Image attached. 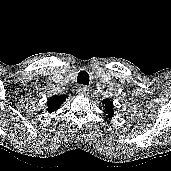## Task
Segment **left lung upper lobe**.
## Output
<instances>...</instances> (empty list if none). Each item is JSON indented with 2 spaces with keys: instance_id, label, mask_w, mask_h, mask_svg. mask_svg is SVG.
I'll list each match as a JSON object with an SVG mask.
<instances>
[{
  "instance_id": "obj_1",
  "label": "left lung upper lobe",
  "mask_w": 171,
  "mask_h": 171,
  "mask_svg": "<svg viewBox=\"0 0 171 171\" xmlns=\"http://www.w3.org/2000/svg\"><path fill=\"white\" fill-rule=\"evenodd\" d=\"M103 104L105 107V114H107V117H112L114 115L112 102L110 100H103Z\"/></svg>"
}]
</instances>
